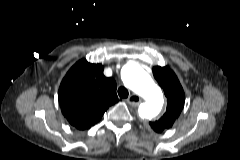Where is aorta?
<instances>
[{"mask_svg": "<svg viewBox=\"0 0 240 160\" xmlns=\"http://www.w3.org/2000/svg\"><path fill=\"white\" fill-rule=\"evenodd\" d=\"M123 82L141 98L139 115L144 119L156 117L162 110L164 97L159 86L139 65L126 64L121 71Z\"/></svg>", "mask_w": 240, "mask_h": 160, "instance_id": "1", "label": "aorta"}]
</instances>
